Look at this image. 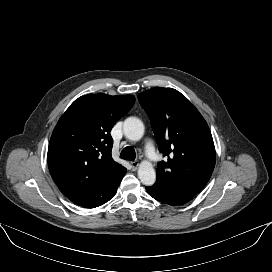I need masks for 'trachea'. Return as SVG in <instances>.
<instances>
[{"instance_id":"trachea-1","label":"trachea","mask_w":272,"mask_h":272,"mask_svg":"<svg viewBox=\"0 0 272 272\" xmlns=\"http://www.w3.org/2000/svg\"><path fill=\"white\" fill-rule=\"evenodd\" d=\"M120 157L125 160L133 161L136 158V153L133 147L127 146L125 147L120 154Z\"/></svg>"}]
</instances>
